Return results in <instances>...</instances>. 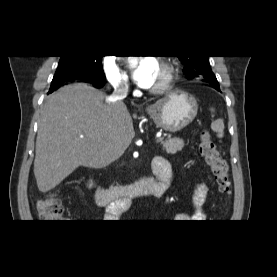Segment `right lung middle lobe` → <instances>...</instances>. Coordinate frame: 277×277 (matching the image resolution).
Instances as JSON below:
<instances>
[{
  "label": "right lung middle lobe",
  "instance_id": "obj_1",
  "mask_svg": "<svg viewBox=\"0 0 277 277\" xmlns=\"http://www.w3.org/2000/svg\"><path fill=\"white\" fill-rule=\"evenodd\" d=\"M101 61L102 56H61L49 92L68 81L90 80L103 83L105 76Z\"/></svg>",
  "mask_w": 277,
  "mask_h": 277
}]
</instances>
